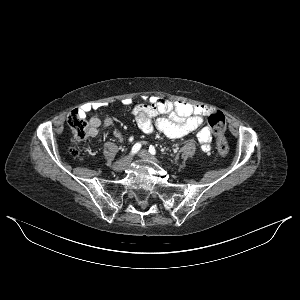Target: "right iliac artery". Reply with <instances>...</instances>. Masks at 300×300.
Instances as JSON below:
<instances>
[{"mask_svg":"<svg viewBox=\"0 0 300 300\" xmlns=\"http://www.w3.org/2000/svg\"><path fill=\"white\" fill-rule=\"evenodd\" d=\"M141 148V144L140 143H136L131 150V155L136 154Z\"/></svg>","mask_w":300,"mask_h":300,"instance_id":"obj_1","label":"right iliac artery"}]
</instances>
